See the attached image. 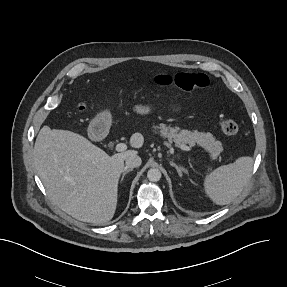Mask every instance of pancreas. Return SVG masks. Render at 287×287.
<instances>
[{"label": "pancreas", "instance_id": "cf45deb5", "mask_svg": "<svg viewBox=\"0 0 287 287\" xmlns=\"http://www.w3.org/2000/svg\"><path fill=\"white\" fill-rule=\"evenodd\" d=\"M155 128L160 129L161 136L168 137L169 141H174L176 145L189 144L193 146L197 143L209 153L211 159H216L223 150L221 142L216 140L211 133L188 130L178 132L179 128L167 127L165 124H160Z\"/></svg>", "mask_w": 287, "mask_h": 287}]
</instances>
